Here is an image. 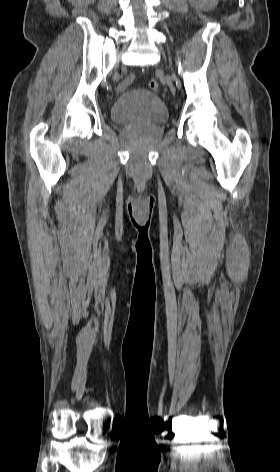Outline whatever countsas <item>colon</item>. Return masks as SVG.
<instances>
[{"label":"colon","instance_id":"obj_1","mask_svg":"<svg viewBox=\"0 0 280 472\" xmlns=\"http://www.w3.org/2000/svg\"><path fill=\"white\" fill-rule=\"evenodd\" d=\"M148 85H149V88H150L151 90H153V91H157L158 88H159L158 82H157L156 80H154V79L150 80L149 83H148Z\"/></svg>","mask_w":280,"mask_h":472}]
</instances>
